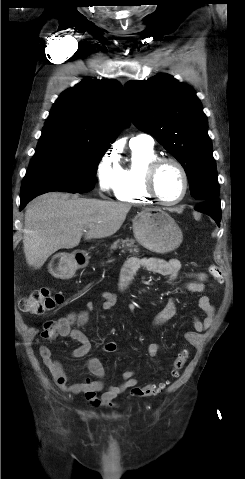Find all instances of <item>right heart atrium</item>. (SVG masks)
<instances>
[{
	"instance_id": "1",
	"label": "right heart atrium",
	"mask_w": 245,
	"mask_h": 479,
	"mask_svg": "<svg viewBox=\"0 0 245 479\" xmlns=\"http://www.w3.org/2000/svg\"><path fill=\"white\" fill-rule=\"evenodd\" d=\"M119 170L115 153L109 152L102 157L96 170L97 185L101 193L109 194L115 191Z\"/></svg>"
}]
</instances>
